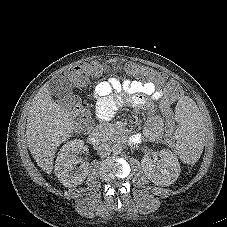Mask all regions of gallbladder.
<instances>
[{
  "label": "gallbladder",
  "instance_id": "gallbladder-1",
  "mask_svg": "<svg viewBox=\"0 0 227 227\" xmlns=\"http://www.w3.org/2000/svg\"><path fill=\"white\" fill-rule=\"evenodd\" d=\"M48 90L63 103L73 101V88L63 76L53 77L48 83Z\"/></svg>",
  "mask_w": 227,
  "mask_h": 227
}]
</instances>
